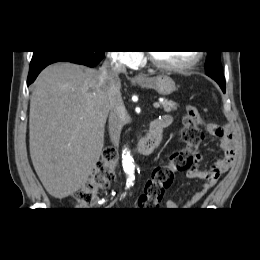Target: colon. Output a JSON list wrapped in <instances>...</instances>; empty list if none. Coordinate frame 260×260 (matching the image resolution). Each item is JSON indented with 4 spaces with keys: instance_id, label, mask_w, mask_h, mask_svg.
<instances>
[{
    "instance_id": "1",
    "label": "colon",
    "mask_w": 260,
    "mask_h": 260,
    "mask_svg": "<svg viewBox=\"0 0 260 260\" xmlns=\"http://www.w3.org/2000/svg\"><path fill=\"white\" fill-rule=\"evenodd\" d=\"M197 113L198 110L194 106L187 107L182 129V139L186 146L175 152L168 163L157 166L145 185L143 196L155 206L162 200L165 191L172 186L175 175L188 170L194 163L198 146L204 137L200 127L196 125ZM116 159L117 154L113 148L104 150L103 157L92 175L73 196L78 206H92L97 193L109 187L114 179Z\"/></svg>"
}]
</instances>
